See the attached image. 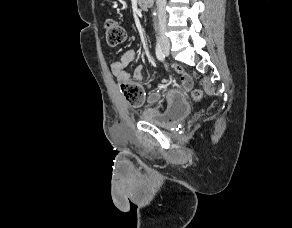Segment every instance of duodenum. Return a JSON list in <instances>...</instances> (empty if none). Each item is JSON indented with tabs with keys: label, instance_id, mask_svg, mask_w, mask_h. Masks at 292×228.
<instances>
[{
	"label": "duodenum",
	"instance_id": "duodenum-1",
	"mask_svg": "<svg viewBox=\"0 0 292 228\" xmlns=\"http://www.w3.org/2000/svg\"><path fill=\"white\" fill-rule=\"evenodd\" d=\"M138 4L142 9H148L152 6L153 0H138Z\"/></svg>",
	"mask_w": 292,
	"mask_h": 228
}]
</instances>
